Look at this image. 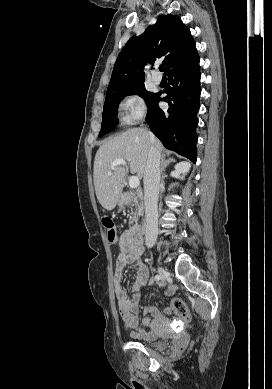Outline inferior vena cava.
Returning <instances> with one entry per match:
<instances>
[{
    "label": "inferior vena cava",
    "mask_w": 272,
    "mask_h": 389,
    "mask_svg": "<svg viewBox=\"0 0 272 389\" xmlns=\"http://www.w3.org/2000/svg\"><path fill=\"white\" fill-rule=\"evenodd\" d=\"M152 144L144 172V204H145V244L154 246L158 236V195L160 189V152L154 145V136L150 135Z\"/></svg>",
    "instance_id": "602c4592"
}]
</instances>
